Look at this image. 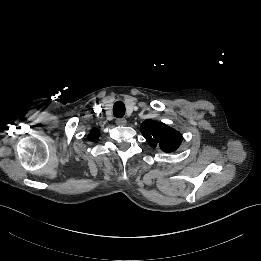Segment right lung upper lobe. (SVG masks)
I'll list each match as a JSON object with an SVG mask.
<instances>
[{
  "label": "right lung upper lobe",
  "mask_w": 261,
  "mask_h": 261,
  "mask_svg": "<svg viewBox=\"0 0 261 261\" xmlns=\"http://www.w3.org/2000/svg\"><path fill=\"white\" fill-rule=\"evenodd\" d=\"M99 136H100L99 130L98 129H94L89 134L88 139L91 140V141H94V140L98 139Z\"/></svg>",
  "instance_id": "1"
}]
</instances>
